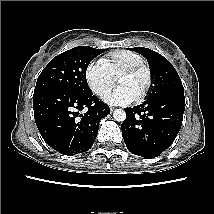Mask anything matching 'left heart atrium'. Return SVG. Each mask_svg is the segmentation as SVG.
Masks as SVG:
<instances>
[{
	"label": "left heart atrium",
	"instance_id": "39dd6f15",
	"mask_svg": "<svg viewBox=\"0 0 214 214\" xmlns=\"http://www.w3.org/2000/svg\"><path fill=\"white\" fill-rule=\"evenodd\" d=\"M137 96L127 87L119 86L108 93L105 101L111 105H127L134 102Z\"/></svg>",
	"mask_w": 214,
	"mask_h": 214
}]
</instances>
